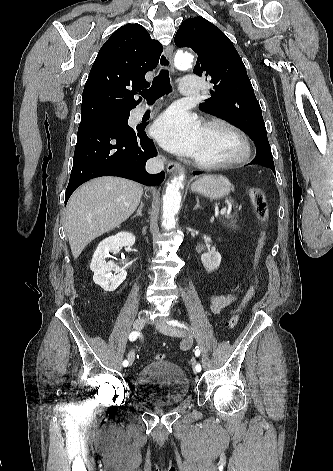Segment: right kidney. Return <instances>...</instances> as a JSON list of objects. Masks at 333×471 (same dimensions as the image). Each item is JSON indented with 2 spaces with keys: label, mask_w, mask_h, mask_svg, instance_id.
Wrapping results in <instances>:
<instances>
[{
  "label": "right kidney",
  "mask_w": 333,
  "mask_h": 471,
  "mask_svg": "<svg viewBox=\"0 0 333 471\" xmlns=\"http://www.w3.org/2000/svg\"><path fill=\"white\" fill-rule=\"evenodd\" d=\"M135 236L128 232H120L101 241L96 248L90 264L94 272L93 280L105 291H114L126 279L127 272L113 262H106L110 251L118 250L123 246H133ZM112 271L117 273L113 274Z\"/></svg>",
  "instance_id": "obj_1"
}]
</instances>
